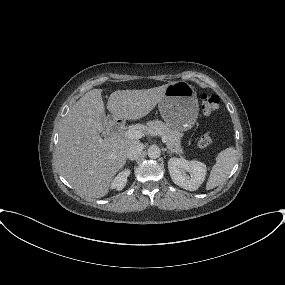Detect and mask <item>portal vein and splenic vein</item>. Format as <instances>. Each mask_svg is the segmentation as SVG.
Masks as SVG:
<instances>
[{
  "label": "portal vein and splenic vein",
  "instance_id": "portal-vein-and-splenic-vein-1",
  "mask_svg": "<svg viewBox=\"0 0 285 285\" xmlns=\"http://www.w3.org/2000/svg\"><path fill=\"white\" fill-rule=\"evenodd\" d=\"M124 137L129 139H140L144 136V132L141 129L130 128L124 132ZM166 138L162 136V142L166 143Z\"/></svg>",
  "mask_w": 285,
  "mask_h": 285
}]
</instances>
